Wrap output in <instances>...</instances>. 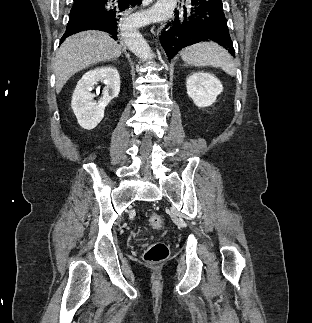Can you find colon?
<instances>
[{
	"mask_svg": "<svg viewBox=\"0 0 312 323\" xmlns=\"http://www.w3.org/2000/svg\"><path fill=\"white\" fill-rule=\"evenodd\" d=\"M149 223L155 230H162L164 228L163 220L157 213L150 214ZM168 253L166 244L155 242L146 249L143 259L149 264H159L167 259Z\"/></svg>",
	"mask_w": 312,
	"mask_h": 323,
	"instance_id": "colon-1",
	"label": "colon"
}]
</instances>
